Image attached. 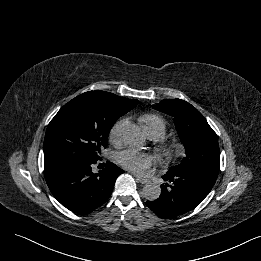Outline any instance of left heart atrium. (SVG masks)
<instances>
[{
  "label": "left heart atrium",
  "mask_w": 261,
  "mask_h": 261,
  "mask_svg": "<svg viewBox=\"0 0 261 261\" xmlns=\"http://www.w3.org/2000/svg\"><path fill=\"white\" fill-rule=\"evenodd\" d=\"M153 156L149 153L138 152L133 149H127L117 155L118 163L125 169L143 174L152 165Z\"/></svg>",
  "instance_id": "39dd6f15"
}]
</instances>
